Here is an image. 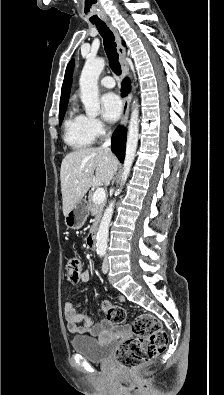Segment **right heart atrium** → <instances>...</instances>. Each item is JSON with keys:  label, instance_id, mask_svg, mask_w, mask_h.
<instances>
[{"label": "right heart atrium", "instance_id": "obj_1", "mask_svg": "<svg viewBox=\"0 0 224 395\" xmlns=\"http://www.w3.org/2000/svg\"><path fill=\"white\" fill-rule=\"evenodd\" d=\"M90 131L95 137H99L105 133V126L102 121L96 117H87Z\"/></svg>", "mask_w": 224, "mask_h": 395}]
</instances>
